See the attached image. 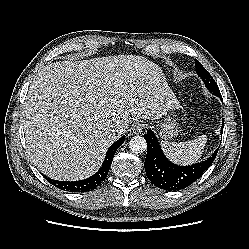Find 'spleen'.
Returning <instances> with one entry per match:
<instances>
[{"label":"spleen","mask_w":249,"mask_h":249,"mask_svg":"<svg viewBox=\"0 0 249 249\" xmlns=\"http://www.w3.org/2000/svg\"><path fill=\"white\" fill-rule=\"evenodd\" d=\"M207 138L201 135L193 140L186 142H168L163 141L162 147L167 157L178 164H193L201 157Z\"/></svg>","instance_id":"1"}]
</instances>
